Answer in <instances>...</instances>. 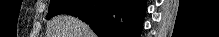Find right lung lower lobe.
<instances>
[{"mask_svg": "<svg viewBox=\"0 0 219 37\" xmlns=\"http://www.w3.org/2000/svg\"><path fill=\"white\" fill-rule=\"evenodd\" d=\"M145 8L143 0H82L65 14L90 24L99 37H139Z\"/></svg>", "mask_w": 219, "mask_h": 37, "instance_id": "right-lung-lower-lobe-1", "label": "right lung lower lobe"}]
</instances>
